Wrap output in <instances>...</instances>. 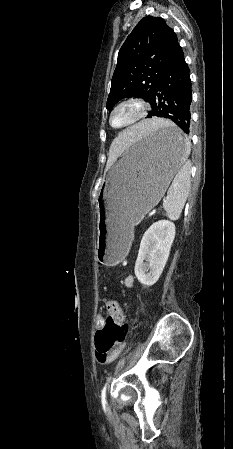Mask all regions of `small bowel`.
<instances>
[{
    "instance_id": "1",
    "label": "small bowel",
    "mask_w": 233,
    "mask_h": 449,
    "mask_svg": "<svg viewBox=\"0 0 233 449\" xmlns=\"http://www.w3.org/2000/svg\"><path fill=\"white\" fill-rule=\"evenodd\" d=\"M123 283L126 287H132L133 286V277L131 275L127 276L124 279ZM96 327H97L98 331H102L105 328V319L100 314H98L96 316ZM121 349H122V346H120L119 348L114 349L113 351H111L107 354H104V355H99L96 353V358L100 364H108V363L112 362L119 355Z\"/></svg>"
}]
</instances>
